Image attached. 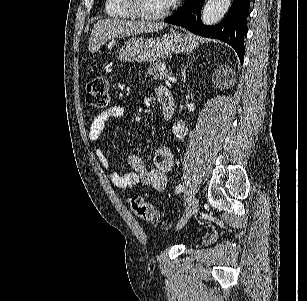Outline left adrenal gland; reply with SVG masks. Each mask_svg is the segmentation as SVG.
Returning <instances> with one entry per match:
<instances>
[{"mask_svg":"<svg viewBox=\"0 0 307 301\" xmlns=\"http://www.w3.org/2000/svg\"><path fill=\"white\" fill-rule=\"evenodd\" d=\"M186 68H187V64H186V66H184L183 72H182V76H183L182 80H183V82H186V80H185V78H186V76H185V70H186Z\"/></svg>","mask_w":307,"mask_h":301,"instance_id":"left-adrenal-gland-1","label":"left adrenal gland"}]
</instances>
